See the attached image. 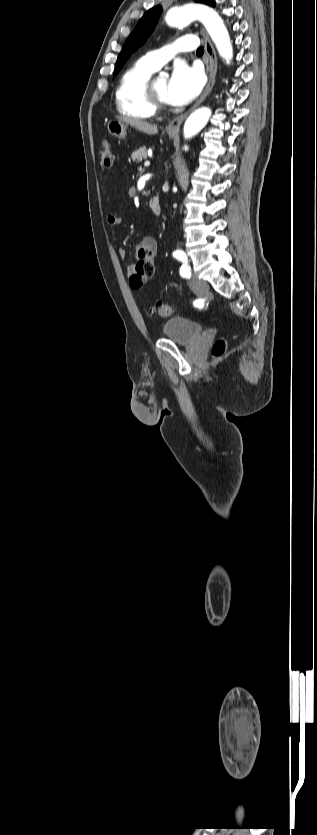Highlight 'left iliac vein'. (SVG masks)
Returning a JSON list of instances; mask_svg holds the SVG:
<instances>
[{
    "label": "left iliac vein",
    "instance_id": "4c4485c4",
    "mask_svg": "<svg viewBox=\"0 0 317 835\" xmlns=\"http://www.w3.org/2000/svg\"><path fill=\"white\" fill-rule=\"evenodd\" d=\"M189 285L191 290L198 295L205 294L209 289L208 283L205 280L198 278L196 275H192Z\"/></svg>",
    "mask_w": 317,
    "mask_h": 835
}]
</instances>
